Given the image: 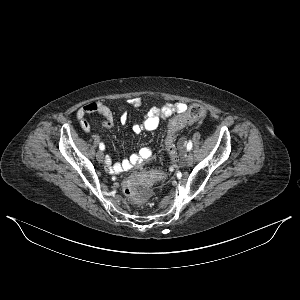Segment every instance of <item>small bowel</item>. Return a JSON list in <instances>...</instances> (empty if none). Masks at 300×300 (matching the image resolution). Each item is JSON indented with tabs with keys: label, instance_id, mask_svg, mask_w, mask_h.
<instances>
[{
	"label": "small bowel",
	"instance_id": "obj_1",
	"mask_svg": "<svg viewBox=\"0 0 300 300\" xmlns=\"http://www.w3.org/2000/svg\"><path fill=\"white\" fill-rule=\"evenodd\" d=\"M129 103L133 107H139L142 104V100L139 97H135L130 99ZM186 108L187 105L183 102L165 103L159 107H153L147 112L141 122L135 123L132 126V130L136 134H139L144 130H155L159 127L161 120L169 118L175 113L183 112ZM93 113H97L103 117L105 127L113 126L114 115L110 107L101 102H89L79 108L76 113L77 120L83 131L87 133L91 131V126L86 119V116ZM119 119L122 124H126L128 120L127 111H123L120 114ZM151 157L152 151L147 147H143L136 154L129 156L121 162H113L112 157L108 156L105 159V166L112 173H121L143 164L151 159Z\"/></svg>",
	"mask_w": 300,
	"mask_h": 300
}]
</instances>
